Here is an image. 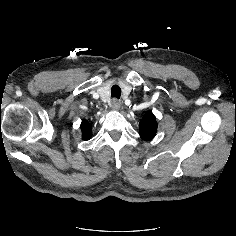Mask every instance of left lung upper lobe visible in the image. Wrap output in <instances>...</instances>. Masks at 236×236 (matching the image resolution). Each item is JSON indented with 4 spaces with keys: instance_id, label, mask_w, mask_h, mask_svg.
I'll use <instances>...</instances> for the list:
<instances>
[{
    "instance_id": "1",
    "label": "left lung upper lobe",
    "mask_w": 236,
    "mask_h": 236,
    "mask_svg": "<svg viewBox=\"0 0 236 236\" xmlns=\"http://www.w3.org/2000/svg\"><path fill=\"white\" fill-rule=\"evenodd\" d=\"M157 131L156 117L152 112L147 111L140 121V136L148 141L153 138Z\"/></svg>"
}]
</instances>
